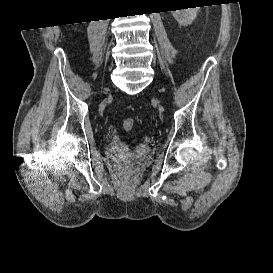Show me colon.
I'll use <instances>...</instances> for the list:
<instances>
[{
  "instance_id": "1",
  "label": "colon",
  "mask_w": 273,
  "mask_h": 273,
  "mask_svg": "<svg viewBox=\"0 0 273 273\" xmlns=\"http://www.w3.org/2000/svg\"><path fill=\"white\" fill-rule=\"evenodd\" d=\"M123 128L126 130V131H130L134 128V125H135V121L133 118H126L123 120Z\"/></svg>"
}]
</instances>
